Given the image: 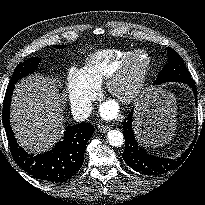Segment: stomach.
<instances>
[{
  "instance_id": "0dacf381",
  "label": "stomach",
  "mask_w": 205,
  "mask_h": 205,
  "mask_svg": "<svg viewBox=\"0 0 205 205\" xmlns=\"http://www.w3.org/2000/svg\"><path fill=\"white\" fill-rule=\"evenodd\" d=\"M176 99L164 90H149L143 94L135 112V130L146 147L167 144L176 130Z\"/></svg>"
}]
</instances>
